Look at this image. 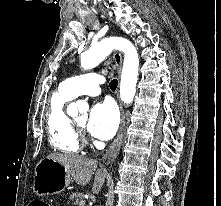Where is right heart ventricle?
I'll return each mask as SVG.
<instances>
[{"label":"right heart ventricle","mask_w":221,"mask_h":206,"mask_svg":"<svg viewBox=\"0 0 221 206\" xmlns=\"http://www.w3.org/2000/svg\"><path fill=\"white\" fill-rule=\"evenodd\" d=\"M73 99L62 87L54 92L46 112V128L51 146L68 154L80 150V137L73 120L66 114L65 106Z\"/></svg>","instance_id":"1"}]
</instances>
